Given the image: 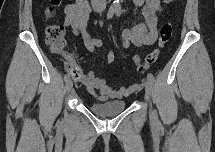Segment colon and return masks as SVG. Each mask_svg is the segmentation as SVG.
Segmentation results:
<instances>
[{"mask_svg": "<svg viewBox=\"0 0 215 152\" xmlns=\"http://www.w3.org/2000/svg\"><path fill=\"white\" fill-rule=\"evenodd\" d=\"M63 0H51L50 4L46 8L47 17H53L61 6ZM173 33V28L170 23H165L160 29L159 40L156 48L150 52L142 62L135 63L136 72L144 73L150 65L156 62L160 54L161 49L170 41ZM46 44L54 51L61 52L65 46V30L62 25L57 23H49L45 29ZM67 72L74 78L81 75L79 66L69 61L66 65Z\"/></svg>", "mask_w": 215, "mask_h": 152, "instance_id": "5ec220e1", "label": "colon"}]
</instances>
